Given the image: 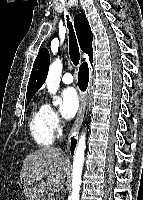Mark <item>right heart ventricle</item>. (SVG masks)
Segmentation results:
<instances>
[{"mask_svg":"<svg viewBox=\"0 0 143 200\" xmlns=\"http://www.w3.org/2000/svg\"><path fill=\"white\" fill-rule=\"evenodd\" d=\"M29 128L33 139L38 145L49 146L52 144L54 136L47 128L42 106L34 107L29 120Z\"/></svg>","mask_w":143,"mask_h":200,"instance_id":"right-heart-ventricle-1","label":"right heart ventricle"}]
</instances>
